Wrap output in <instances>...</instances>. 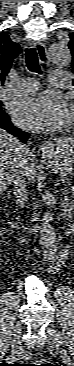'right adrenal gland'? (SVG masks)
Instances as JSON below:
<instances>
[{
	"label": "right adrenal gland",
	"mask_w": 74,
	"mask_h": 366,
	"mask_svg": "<svg viewBox=\"0 0 74 366\" xmlns=\"http://www.w3.org/2000/svg\"><path fill=\"white\" fill-rule=\"evenodd\" d=\"M7 198H8V199H10V198H11V195H10V193H8V196H7Z\"/></svg>",
	"instance_id": "2a0ac1e0"
}]
</instances>
